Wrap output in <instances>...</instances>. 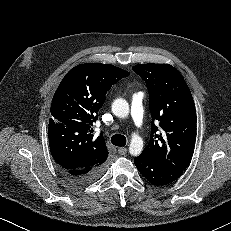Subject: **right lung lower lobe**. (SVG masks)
<instances>
[{"mask_svg":"<svg viewBox=\"0 0 231 231\" xmlns=\"http://www.w3.org/2000/svg\"><path fill=\"white\" fill-rule=\"evenodd\" d=\"M67 179L78 185L88 184L94 181L102 172L103 164L90 169H63Z\"/></svg>","mask_w":231,"mask_h":231,"instance_id":"right-lung-lower-lobe-1","label":"right lung lower lobe"}]
</instances>
